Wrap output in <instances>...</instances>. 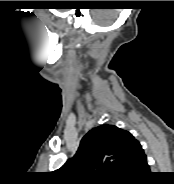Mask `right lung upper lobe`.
<instances>
[{"label":"right lung upper lobe","instance_id":"right-lung-upper-lobe-1","mask_svg":"<svg viewBox=\"0 0 174 184\" xmlns=\"http://www.w3.org/2000/svg\"><path fill=\"white\" fill-rule=\"evenodd\" d=\"M146 158L140 143L128 131L103 124L81 140L76 154L56 175L66 183H117Z\"/></svg>","mask_w":174,"mask_h":184}]
</instances>
